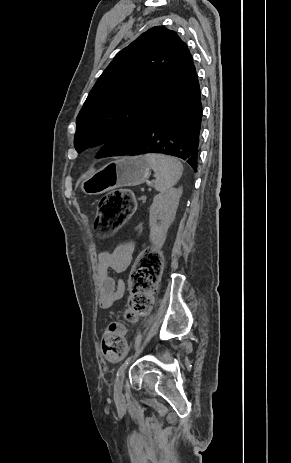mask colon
<instances>
[{
    "label": "colon",
    "mask_w": 291,
    "mask_h": 463,
    "mask_svg": "<svg viewBox=\"0 0 291 463\" xmlns=\"http://www.w3.org/2000/svg\"><path fill=\"white\" fill-rule=\"evenodd\" d=\"M136 203L128 189H117L104 195L98 203L96 230L109 234L118 230L129 219ZM162 268V255L147 248L138 256L129 278L130 298L126 317L135 320L146 314L152 305V294ZM102 352L110 361H120L125 353L124 326L111 323L102 337Z\"/></svg>",
    "instance_id": "obj_1"
}]
</instances>
